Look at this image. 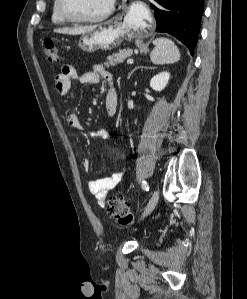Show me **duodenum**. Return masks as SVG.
I'll return each mask as SVG.
<instances>
[{"label": "duodenum", "instance_id": "1", "mask_svg": "<svg viewBox=\"0 0 247 299\" xmlns=\"http://www.w3.org/2000/svg\"><path fill=\"white\" fill-rule=\"evenodd\" d=\"M115 113H116V106L111 104L106 107V114L108 117H113Z\"/></svg>", "mask_w": 247, "mask_h": 299}]
</instances>
